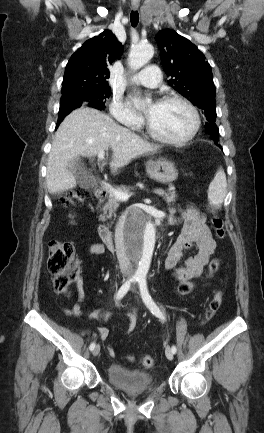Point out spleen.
Returning <instances> with one entry per match:
<instances>
[{"label": "spleen", "mask_w": 264, "mask_h": 433, "mask_svg": "<svg viewBox=\"0 0 264 433\" xmlns=\"http://www.w3.org/2000/svg\"><path fill=\"white\" fill-rule=\"evenodd\" d=\"M227 193V180L224 170L220 168L208 188V199L210 203L220 208Z\"/></svg>", "instance_id": "3e777b00"}]
</instances>
